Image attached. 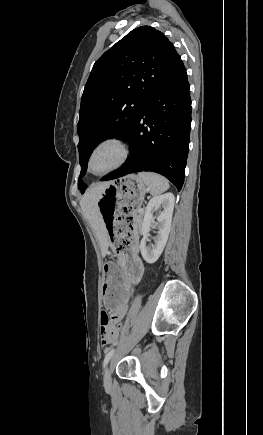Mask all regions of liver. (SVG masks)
I'll return each mask as SVG.
<instances>
[{
	"mask_svg": "<svg viewBox=\"0 0 263 435\" xmlns=\"http://www.w3.org/2000/svg\"><path fill=\"white\" fill-rule=\"evenodd\" d=\"M110 183L111 181H107L99 182L93 185L89 190L86 191L80 201L82 211L88 222L90 223L94 234L99 242L102 257H105L108 252L109 237L107 229L101 217L97 202L101 193Z\"/></svg>",
	"mask_w": 263,
	"mask_h": 435,
	"instance_id": "obj_1",
	"label": "liver"
}]
</instances>
